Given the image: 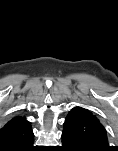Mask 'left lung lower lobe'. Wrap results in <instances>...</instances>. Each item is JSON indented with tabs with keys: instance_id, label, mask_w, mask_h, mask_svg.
Instances as JSON below:
<instances>
[{
	"instance_id": "left-lung-lower-lobe-1",
	"label": "left lung lower lobe",
	"mask_w": 118,
	"mask_h": 151,
	"mask_svg": "<svg viewBox=\"0 0 118 151\" xmlns=\"http://www.w3.org/2000/svg\"><path fill=\"white\" fill-rule=\"evenodd\" d=\"M62 151H90L86 144L73 133L62 132Z\"/></svg>"
}]
</instances>
